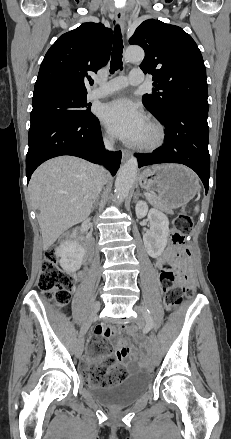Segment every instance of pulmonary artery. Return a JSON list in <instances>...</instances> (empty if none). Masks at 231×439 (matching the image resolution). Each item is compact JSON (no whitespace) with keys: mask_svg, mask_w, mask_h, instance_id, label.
<instances>
[{"mask_svg":"<svg viewBox=\"0 0 231 439\" xmlns=\"http://www.w3.org/2000/svg\"><path fill=\"white\" fill-rule=\"evenodd\" d=\"M144 81V74L141 70L135 69L128 76H118L110 80L106 85L91 90L88 94L89 99L101 98L113 92L121 90L128 85H139Z\"/></svg>","mask_w":231,"mask_h":439,"instance_id":"obj_1","label":"pulmonary artery"}]
</instances>
